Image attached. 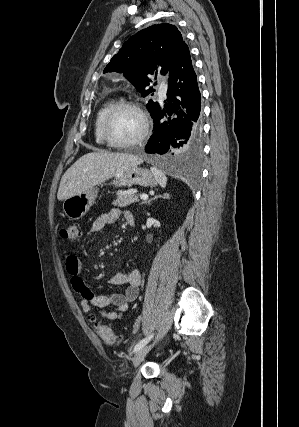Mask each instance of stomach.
I'll return each mask as SVG.
<instances>
[{
    "mask_svg": "<svg viewBox=\"0 0 299 427\" xmlns=\"http://www.w3.org/2000/svg\"><path fill=\"white\" fill-rule=\"evenodd\" d=\"M156 182L157 180L151 171L134 167L117 174L111 184L116 187H132L134 185L150 187L154 186ZM98 191V188L91 187L80 194L65 199L62 206L63 212L71 220L82 218L94 204Z\"/></svg>",
    "mask_w": 299,
    "mask_h": 427,
    "instance_id": "0dacf381",
    "label": "stomach"
}]
</instances>
